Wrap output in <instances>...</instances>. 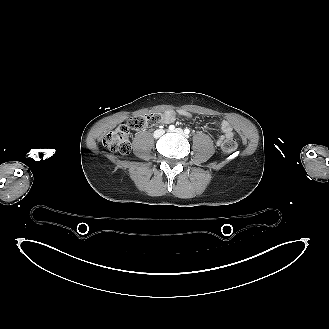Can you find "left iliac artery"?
I'll list each match as a JSON object with an SVG mask.
<instances>
[{
    "label": "left iliac artery",
    "instance_id": "obj_1",
    "mask_svg": "<svg viewBox=\"0 0 329 329\" xmlns=\"http://www.w3.org/2000/svg\"><path fill=\"white\" fill-rule=\"evenodd\" d=\"M184 132H185V134H189L190 133V130L188 129V128H186L185 130H184Z\"/></svg>",
    "mask_w": 329,
    "mask_h": 329
}]
</instances>
